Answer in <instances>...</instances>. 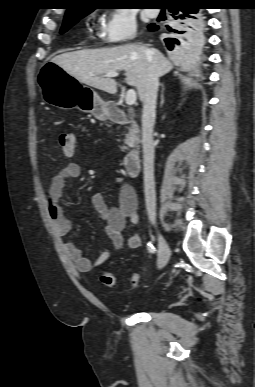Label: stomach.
Instances as JSON below:
<instances>
[{
	"instance_id": "0dacf381",
	"label": "stomach",
	"mask_w": 255,
	"mask_h": 387,
	"mask_svg": "<svg viewBox=\"0 0 255 387\" xmlns=\"http://www.w3.org/2000/svg\"><path fill=\"white\" fill-rule=\"evenodd\" d=\"M37 81L46 103L61 109L77 107L101 121L109 117L107 103L92 88L81 84L55 63H48Z\"/></svg>"
}]
</instances>
